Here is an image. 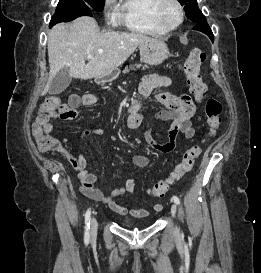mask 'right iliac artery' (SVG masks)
Listing matches in <instances>:
<instances>
[{"instance_id":"1","label":"right iliac artery","mask_w":261,"mask_h":273,"mask_svg":"<svg viewBox=\"0 0 261 273\" xmlns=\"http://www.w3.org/2000/svg\"><path fill=\"white\" fill-rule=\"evenodd\" d=\"M90 216L91 210L88 209L85 213V234H84V243L88 245L90 239Z\"/></svg>"}]
</instances>
